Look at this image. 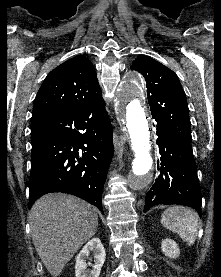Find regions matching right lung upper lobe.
I'll return each instance as SVG.
<instances>
[{
  "instance_id": "cb5924a9",
  "label": "right lung upper lobe",
  "mask_w": 221,
  "mask_h": 277,
  "mask_svg": "<svg viewBox=\"0 0 221 277\" xmlns=\"http://www.w3.org/2000/svg\"><path fill=\"white\" fill-rule=\"evenodd\" d=\"M103 100L95 68L85 56H76L52 70L41 85L33 115L80 109Z\"/></svg>"
}]
</instances>
